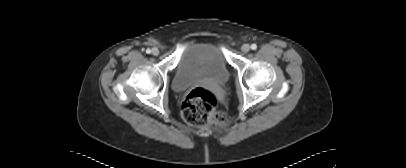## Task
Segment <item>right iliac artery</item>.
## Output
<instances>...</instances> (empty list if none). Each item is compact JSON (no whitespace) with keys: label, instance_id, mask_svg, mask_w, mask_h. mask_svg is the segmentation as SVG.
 I'll return each mask as SVG.
<instances>
[{"label":"right iliac artery","instance_id":"82829eb1","mask_svg":"<svg viewBox=\"0 0 406 168\" xmlns=\"http://www.w3.org/2000/svg\"><path fill=\"white\" fill-rule=\"evenodd\" d=\"M146 53H147V54H150V53H151V50H150V49H147V50H146Z\"/></svg>","mask_w":406,"mask_h":168}]
</instances>
